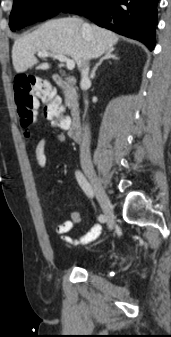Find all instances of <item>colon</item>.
Returning a JSON list of instances; mask_svg holds the SVG:
<instances>
[{
	"instance_id": "colon-1",
	"label": "colon",
	"mask_w": 171,
	"mask_h": 337,
	"mask_svg": "<svg viewBox=\"0 0 171 337\" xmlns=\"http://www.w3.org/2000/svg\"><path fill=\"white\" fill-rule=\"evenodd\" d=\"M15 103L21 124L31 125L36 119L37 98L47 106H40L43 119H49L56 128H67L69 119L64 116V101L59 100L57 91H52L47 80L38 76L20 75L15 79ZM29 136V133H27Z\"/></svg>"
}]
</instances>
